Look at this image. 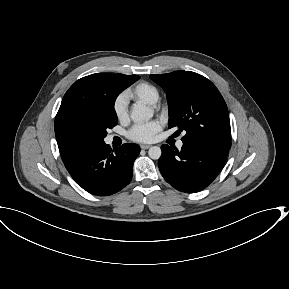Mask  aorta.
Wrapping results in <instances>:
<instances>
[{
  "label": "aorta",
  "mask_w": 289,
  "mask_h": 289,
  "mask_svg": "<svg viewBox=\"0 0 289 289\" xmlns=\"http://www.w3.org/2000/svg\"><path fill=\"white\" fill-rule=\"evenodd\" d=\"M152 116V109L148 108L143 104L135 105L131 111V119L135 123H142L144 121H147L152 118ZM161 154V148L158 146H152L148 151L149 157L154 160L159 159L161 157Z\"/></svg>",
  "instance_id": "aorta-1"
}]
</instances>
